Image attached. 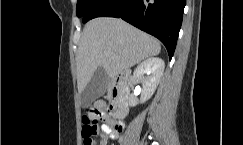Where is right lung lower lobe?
I'll return each mask as SVG.
<instances>
[{"label": "right lung lower lobe", "mask_w": 243, "mask_h": 145, "mask_svg": "<svg viewBox=\"0 0 243 145\" xmlns=\"http://www.w3.org/2000/svg\"><path fill=\"white\" fill-rule=\"evenodd\" d=\"M185 3L186 0H96L83 15V23L100 16L122 18L157 37L171 59Z\"/></svg>", "instance_id": "right-lung-lower-lobe-1"}]
</instances>
